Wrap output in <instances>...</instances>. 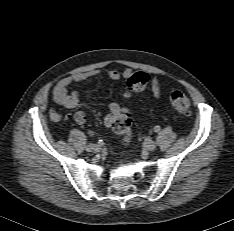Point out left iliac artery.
I'll return each instance as SVG.
<instances>
[{
	"mask_svg": "<svg viewBox=\"0 0 234 231\" xmlns=\"http://www.w3.org/2000/svg\"><path fill=\"white\" fill-rule=\"evenodd\" d=\"M160 130H161V127H160V126H155V127H154V131H155V132H159Z\"/></svg>",
	"mask_w": 234,
	"mask_h": 231,
	"instance_id": "44dca946",
	"label": "left iliac artery"
}]
</instances>
